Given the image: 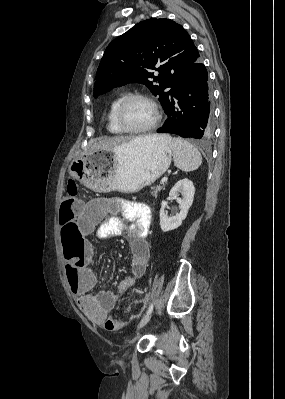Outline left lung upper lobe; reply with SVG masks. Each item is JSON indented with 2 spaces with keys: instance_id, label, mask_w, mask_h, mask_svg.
I'll return each mask as SVG.
<instances>
[{
  "instance_id": "obj_1",
  "label": "left lung upper lobe",
  "mask_w": 285,
  "mask_h": 399,
  "mask_svg": "<svg viewBox=\"0 0 285 399\" xmlns=\"http://www.w3.org/2000/svg\"><path fill=\"white\" fill-rule=\"evenodd\" d=\"M198 57L196 46L180 24L170 19L141 21L106 48L97 70L94 97L127 83H142L165 106L171 93L165 89ZM152 70L159 75L154 76Z\"/></svg>"
}]
</instances>
